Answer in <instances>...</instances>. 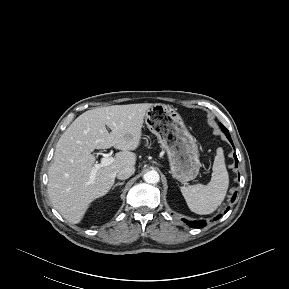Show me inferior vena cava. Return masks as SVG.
I'll list each match as a JSON object with an SVG mask.
<instances>
[{
    "label": "inferior vena cava",
    "instance_id": "1",
    "mask_svg": "<svg viewBox=\"0 0 289 289\" xmlns=\"http://www.w3.org/2000/svg\"><path fill=\"white\" fill-rule=\"evenodd\" d=\"M135 172V167L134 166H126L122 167L117 171V178L120 180H125L128 179L130 176L133 175Z\"/></svg>",
    "mask_w": 289,
    "mask_h": 289
}]
</instances>
